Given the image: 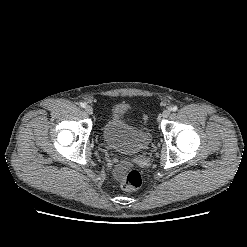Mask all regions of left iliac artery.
Returning <instances> with one entry per match:
<instances>
[{
    "label": "left iliac artery",
    "instance_id": "obj_1",
    "mask_svg": "<svg viewBox=\"0 0 247 247\" xmlns=\"http://www.w3.org/2000/svg\"><path fill=\"white\" fill-rule=\"evenodd\" d=\"M177 109H178L177 106H173V107L171 108L172 111H177Z\"/></svg>",
    "mask_w": 247,
    "mask_h": 247
}]
</instances>
